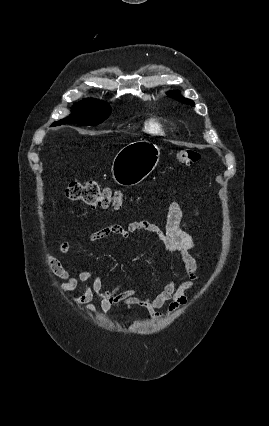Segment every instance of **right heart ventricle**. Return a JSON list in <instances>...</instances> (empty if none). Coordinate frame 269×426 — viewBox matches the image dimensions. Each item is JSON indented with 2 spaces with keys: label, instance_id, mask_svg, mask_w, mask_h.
<instances>
[{
  "label": "right heart ventricle",
  "instance_id": "right-heart-ventricle-1",
  "mask_svg": "<svg viewBox=\"0 0 269 426\" xmlns=\"http://www.w3.org/2000/svg\"><path fill=\"white\" fill-rule=\"evenodd\" d=\"M146 129L147 131H149L150 133H162V125L161 123L156 120H150L147 124H146Z\"/></svg>",
  "mask_w": 269,
  "mask_h": 426
}]
</instances>
